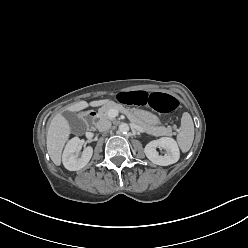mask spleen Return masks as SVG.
I'll return each instance as SVG.
<instances>
[{"mask_svg":"<svg viewBox=\"0 0 248 248\" xmlns=\"http://www.w3.org/2000/svg\"><path fill=\"white\" fill-rule=\"evenodd\" d=\"M194 140V124L188 112L183 113L181 118V131L177 135V143L182 152L190 150Z\"/></svg>","mask_w":248,"mask_h":248,"instance_id":"spleen-1","label":"spleen"}]
</instances>
